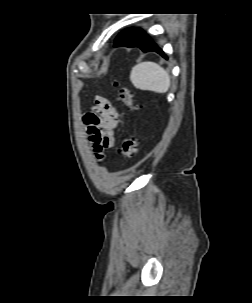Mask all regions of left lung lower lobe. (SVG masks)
I'll list each match as a JSON object with an SVG mask.
<instances>
[{
  "instance_id": "left-lung-lower-lobe-1",
  "label": "left lung lower lobe",
  "mask_w": 252,
  "mask_h": 303,
  "mask_svg": "<svg viewBox=\"0 0 252 303\" xmlns=\"http://www.w3.org/2000/svg\"><path fill=\"white\" fill-rule=\"evenodd\" d=\"M138 47L143 52L154 51L166 58L164 52L148 38V36L141 29H134L128 35H126L121 41H119L115 47Z\"/></svg>"
}]
</instances>
